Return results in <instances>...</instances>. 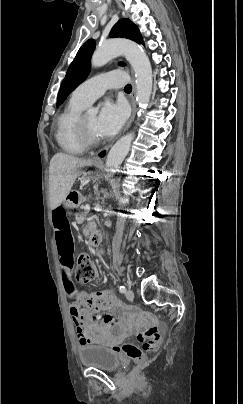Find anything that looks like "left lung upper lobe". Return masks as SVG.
<instances>
[{"instance_id": "left-lung-upper-lobe-1", "label": "left lung upper lobe", "mask_w": 243, "mask_h": 404, "mask_svg": "<svg viewBox=\"0 0 243 404\" xmlns=\"http://www.w3.org/2000/svg\"><path fill=\"white\" fill-rule=\"evenodd\" d=\"M110 37H125L143 44L139 29L129 19L119 20L112 28ZM95 49V41L90 39L86 41L79 49L73 62L70 64L67 74L61 84L57 106L67 98V96L88 76L90 72V59ZM120 65H123L122 63Z\"/></svg>"}]
</instances>
